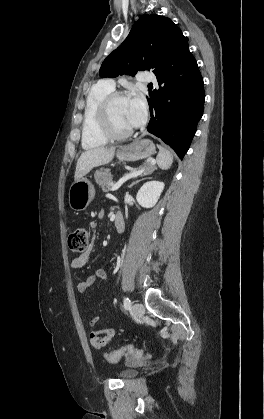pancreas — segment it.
<instances>
[{
  "mask_svg": "<svg viewBox=\"0 0 264 419\" xmlns=\"http://www.w3.org/2000/svg\"><path fill=\"white\" fill-rule=\"evenodd\" d=\"M141 169H144L141 175H146V174H150L155 169V167L151 165L150 163H148L147 166L139 168V170ZM135 170H138V169H135ZM94 177H95L96 183L102 188L104 192H107L111 189L113 183H112L111 173L108 169H102V170L96 171Z\"/></svg>",
  "mask_w": 264,
  "mask_h": 419,
  "instance_id": "pancreas-1",
  "label": "pancreas"
}]
</instances>
